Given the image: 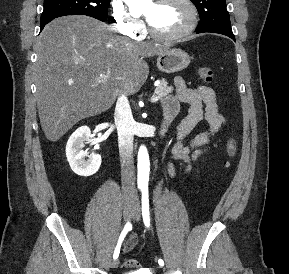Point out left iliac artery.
I'll list each match as a JSON object with an SVG mask.
<instances>
[{
	"label": "left iliac artery",
	"instance_id": "left-iliac-artery-1",
	"mask_svg": "<svg viewBox=\"0 0 289 274\" xmlns=\"http://www.w3.org/2000/svg\"><path fill=\"white\" fill-rule=\"evenodd\" d=\"M142 217L145 226L149 228L150 227L149 198H148V189L146 187L142 189ZM158 263L160 266H164V261L162 259H159Z\"/></svg>",
	"mask_w": 289,
	"mask_h": 274
}]
</instances>
